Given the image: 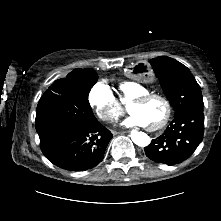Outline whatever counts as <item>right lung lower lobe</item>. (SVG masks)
Instances as JSON below:
<instances>
[{
	"mask_svg": "<svg viewBox=\"0 0 221 221\" xmlns=\"http://www.w3.org/2000/svg\"><path fill=\"white\" fill-rule=\"evenodd\" d=\"M112 137V133L97 120L91 125H70L40 140V148L54 165L70 171H85L103 160Z\"/></svg>",
	"mask_w": 221,
	"mask_h": 221,
	"instance_id": "98d812e1",
	"label": "right lung lower lobe"
}]
</instances>
